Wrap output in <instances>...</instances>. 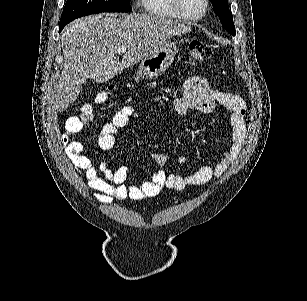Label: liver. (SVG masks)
<instances>
[{
    "mask_svg": "<svg viewBox=\"0 0 307 301\" xmlns=\"http://www.w3.org/2000/svg\"><path fill=\"white\" fill-rule=\"evenodd\" d=\"M189 22H177L155 14H90L66 24L61 36L64 64L57 84L55 106L68 108L85 80L106 82L154 52L168 38L191 32ZM127 46L122 60L116 48Z\"/></svg>",
    "mask_w": 307,
    "mask_h": 301,
    "instance_id": "obj_1",
    "label": "liver"
}]
</instances>
